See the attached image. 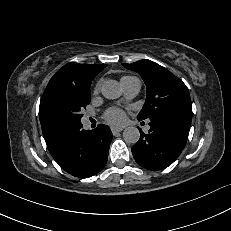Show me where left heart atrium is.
<instances>
[{"label":"left heart atrium","mask_w":231,"mask_h":231,"mask_svg":"<svg viewBox=\"0 0 231 231\" xmlns=\"http://www.w3.org/2000/svg\"><path fill=\"white\" fill-rule=\"evenodd\" d=\"M105 120L112 124V125H116V126H120L122 124H124L125 120H126V115L124 113V111H122L119 108H110L105 112Z\"/></svg>","instance_id":"left-heart-atrium-1"}]
</instances>
